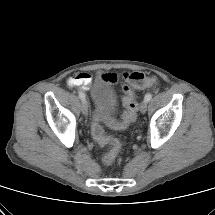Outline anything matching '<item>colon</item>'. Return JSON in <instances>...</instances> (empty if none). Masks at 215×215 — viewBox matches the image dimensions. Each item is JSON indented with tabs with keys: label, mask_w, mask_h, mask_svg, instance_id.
<instances>
[{
	"label": "colon",
	"mask_w": 215,
	"mask_h": 215,
	"mask_svg": "<svg viewBox=\"0 0 215 215\" xmlns=\"http://www.w3.org/2000/svg\"><path fill=\"white\" fill-rule=\"evenodd\" d=\"M155 82V77H149L140 72H134L128 76V83L123 87L125 94L123 98V105L125 107V111L121 120L116 123L118 127L125 128L137 118L138 103L136 101L134 90L147 88L154 85ZM92 135L99 145H108L110 147L109 151L103 156V163L106 165H111L120 152V140L105 134L98 117H95L93 121Z\"/></svg>",
	"instance_id": "5ec220e1"
}]
</instances>
